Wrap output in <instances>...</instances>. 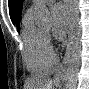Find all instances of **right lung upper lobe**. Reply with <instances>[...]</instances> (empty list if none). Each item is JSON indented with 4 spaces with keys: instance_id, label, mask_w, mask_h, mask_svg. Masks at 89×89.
Here are the masks:
<instances>
[{
    "instance_id": "1",
    "label": "right lung upper lobe",
    "mask_w": 89,
    "mask_h": 89,
    "mask_svg": "<svg viewBox=\"0 0 89 89\" xmlns=\"http://www.w3.org/2000/svg\"><path fill=\"white\" fill-rule=\"evenodd\" d=\"M21 6L19 7V12H18V20H17V29L19 30V18H20V14H21Z\"/></svg>"
}]
</instances>
